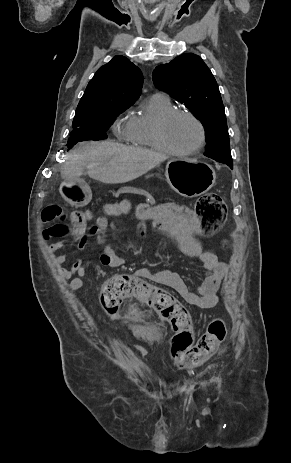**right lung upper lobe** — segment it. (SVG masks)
Returning <instances> with one entry per match:
<instances>
[{
	"instance_id": "cb5924a9",
	"label": "right lung upper lobe",
	"mask_w": 291,
	"mask_h": 463,
	"mask_svg": "<svg viewBox=\"0 0 291 463\" xmlns=\"http://www.w3.org/2000/svg\"><path fill=\"white\" fill-rule=\"evenodd\" d=\"M142 84L140 69L126 57L117 55L90 80L75 114L108 102L133 104L140 96Z\"/></svg>"
}]
</instances>
